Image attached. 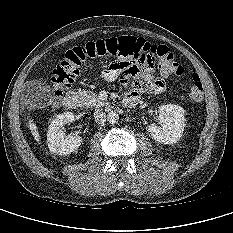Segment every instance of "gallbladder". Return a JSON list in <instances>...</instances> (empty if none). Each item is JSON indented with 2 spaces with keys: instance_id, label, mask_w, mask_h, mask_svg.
Instances as JSON below:
<instances>
[{
  "instance_id": "gallbladder-1",
  "label": "gallbladder",
  "mask_w": 233,
  "mask_h": 233,
  "mask_svg": "<svg viewBox=\"0 0 233 233\" xmlns=\"http://www.w3.org/2000/svg\"><path fill=\"white\" fill-rule=\"evenodd\" d=\"M27 87L31 88L32 94L43 101H49L52 97L50 86L44 82L38 80L31 81L27 84Z\"/></svg>"
}]
</instances>
